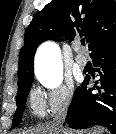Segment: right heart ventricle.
<instances>
[{
	"instance_id": "obj_1",
	"label": "right heart ventricle",
	"mask_w": 116,
	"mask_h": 134,
	"mask_svg": "<svg viewBox=\"0 0 116 134\" xmlns=\"http://www.w3.org/2000/svg\"><path fill=\"white\" fill-rule=\"evenodd\" d=\"M30 104L34 114L42 115L44 113L40 101L34 96V94L31 95Z\"/></svg>"
}]
</instances>
